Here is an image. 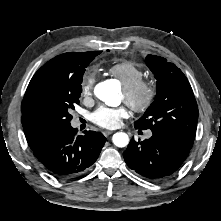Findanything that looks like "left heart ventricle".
I'll use <instances>...</instances> for the list:
<instances>
[{"label": "left heart ventricle", "instance_id": "1", "mask_svg": "<svg viewBox=\"0 0 221 221\" xmlns=\"http://www.w3.org/2000/svg\"><path fill=\"white\" fill-rule=\"evenodd\" d=\"M122 98L125 99V94H124V92H122Z\"/></svg>", "mask_w": 221, "mask_h": 221}]
</instances>
